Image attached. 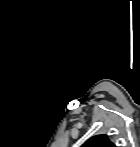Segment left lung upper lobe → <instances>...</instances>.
<instances>
[{"instance_id": "1", "label": "left lung upper lobe", "mask_w": 140, "mask_h": 147, "mask_svg": "<svg viewBox=\"0 0 140 147\" xmlns=\"http://www.w3.org/2000/svg\"><path fill=\"white\" fill-rule=\"evenodd\" d=\"M82 147H115L106 135H98L89 139Z\"/></svg>"}]
</instances>
